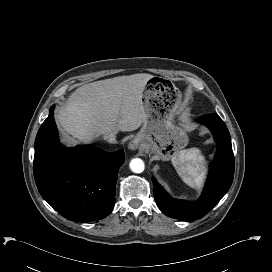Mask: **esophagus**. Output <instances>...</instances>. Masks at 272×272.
I'll return each mask as SVG.
<instances>
[{
  "label": "esophagus",
  "mask_w": 272,
  "mask_h": 272,
  "mask_svg": "<svg viewBox=\"0 0 272 272\" xmlns=\"http://www.w3.org/2000/svg\"><path fill=\"white\" fill-rule=\"evenodd\" d=\"M140 146V139L139 138H134L130 141V143L128 144V148L130 150H137Z\"/></svg>",
  "instance_id": "obj_1"
}]
</instances>
